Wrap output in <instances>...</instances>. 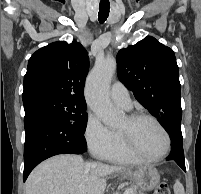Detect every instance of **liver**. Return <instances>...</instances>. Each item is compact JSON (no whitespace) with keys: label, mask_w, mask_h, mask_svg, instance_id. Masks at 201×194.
<instances>
[{"label":"liver","mask_w":201,"mask_h":194,"mask_svg":"<svg viewBox=\"0 0 201 194\" xmlns=\"http://www.w3.org/2000/svg\"><path fill=\"white\" fill-rule=\"evenodd\" d=\"M131 168L84 162L79 155H58L29 175L26 194H103L107 176Z\"/></svg>","instance_id":"obj_1"}]
</instances>
